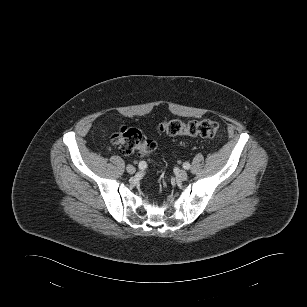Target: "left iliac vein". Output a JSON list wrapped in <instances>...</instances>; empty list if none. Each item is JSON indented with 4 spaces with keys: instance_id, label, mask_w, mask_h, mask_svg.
<instances>
[{
    "instance_id": "1",
    "label": "left iliac vein",
    "mask_w": 307,
    "mask_h": 307,
    "mask_svg": "<svg viewBox=\"0 0 307 307\" xmlns=\"http://www.w3.org/2000/svg\"><path fill=\"white\" fill-rule=\"evenodd\" d=\"M188 177V174L185 170H179L176 174V179L179 181H184Z\"/></svg>"
}]
</instances>
